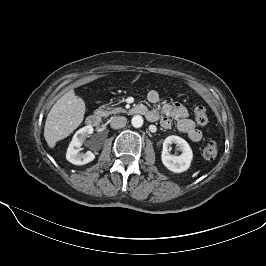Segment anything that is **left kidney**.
<instances>
[{
    "instance_id": "obj_1",
    "label": "left kidney",
    "mask_w": 266,
    "mask_h": 266,
    "mask_svg": "<svg viewBox=\"0 0 266 266\" xmlns=\"http://www.w3.org/2000/svg\"><path fill=\"white\" fill-rule=\"evenodd\" d=\"M172 143L176 144L182 152L179 156L169 153L168 149ZM192 159V149L183 138L171 135L164 140L161 160L168 170L174 173L184 172L190 167Z\"/></svg>"
}]
</instances>
